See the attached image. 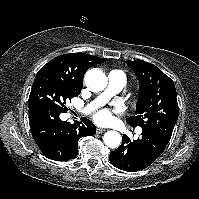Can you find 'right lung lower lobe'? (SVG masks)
I'll list each match as a JSON object with an SVG mask.
<instances>
[{"label":"right lung lower lobe","mask_w":199,"mask_h":199,"mask_svg":"<svg viewBox=\"0 0 199 199\" xmlns=\"http://www.w3.org/2000/svg\"><path fill=\"white\" fill-rule=\"evenodd\" d=\"M58 109L39 104L29 107L32 136L42 153L53 160L66 161L78 154V140L86 135H94L95 125L84 118L83 122L62 121Z\"/></svg>","instance_id":"98d812e1"}]
</instances>
